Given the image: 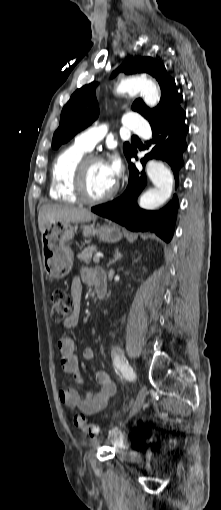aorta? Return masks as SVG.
I'll return each mask as SVG.
<instances>
[{
  "instance_id": "762f6f07",
  "label": "aorta",
  "mask_w": 221,
  "mask_h": 510,
  "mask_svg": "<svg viewBox=\"0 0 221 510\" xmlns=\"http://www.w3.org/2000/svg\"><path fill=\"white\" fill-rule=\"evenodd\" d=\"M116 92L118 94L140 92L144 102L150 107L156 106L160 99V93L155 83L146 76L122 79ZM146 173L154 188L142 194L139 205L143 209L152 210L160 207L171 196L174 179L167 166L156 160H150L147 163Z\"/></svg>"
}]
</instances>
